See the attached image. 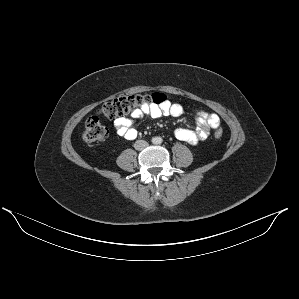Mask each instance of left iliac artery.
Instances as JSON below:
<instances>
[{
	"mask_svg": "<svg viewBox=\"0 0 299 299\" xmlns=\"http://www.w3.org/2000/svg\"><path fill=\"white\" fill-rule=\"evenodd\" d=\"M162 142H163V140H162L161 138H158V139H157V143H158V144H161Z\"/></svg>",
	"mask_w": 299,
	"mask_h": 299,
	"instance_id": "left-iliac-artery-1",
	"label": "left iliac artery"
}]
</instances>
